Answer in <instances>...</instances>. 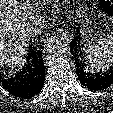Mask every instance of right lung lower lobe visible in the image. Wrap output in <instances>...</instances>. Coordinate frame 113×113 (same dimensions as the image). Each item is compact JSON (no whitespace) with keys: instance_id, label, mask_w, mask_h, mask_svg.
Instances as JSON below:
<instances>
[{"instance_id":"right-lung-lower-lobe-1","label":"right lung lower lobe","mask_w":113,"mask_h":113,"mask_svg":"<svg viewBox=\"0 0 113 113\" xmlns=\"http://www.w3.org/2000/svg\"><path fill=\"white\" fill-rule=\"evenodd\" d=\"M45 66L42 51L30 45V53L25 67L15 76L0 74V83L15 97L29 99L37 95L44 85Z\"/></svg>"}]
</instances>
